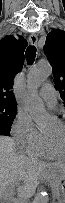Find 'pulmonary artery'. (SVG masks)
I'll return each mask as SVG.
<instances>
[{
  "instance_id": "obj_1",
  "label": "pulmonary artery",
  "mask_w": 65,
  "mask_h": 203,
  "mask_svg": "<svg viewBox=\"0 0 65 203\" xmlns=\"http://www.w3.org/2000/svg\"><path fill=\"white\" fill-rule=\"evenodd\" d=\"M40 96L50 107H54L57 103V95L54 88L50 84H45L40 90Z\"/></svg>"
}]
</instances>
